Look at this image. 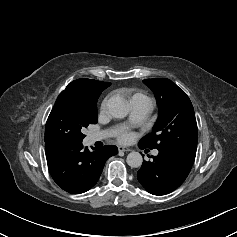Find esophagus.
Wrapping results in <instances>:
<instances>
[{
    "label": "esophagus",
    "instance_id": "1",
    "mask_svg": "<svg viewBox=\"0 0 237 237\" xmlns=\"http://www.w3.org/2000/svg\"><path fill=\"white\" fill-rule=\"evenodd\" d=\"M118 151L119 152H129V151H131V149L128 147L119 146Z\"/></svg>",
    "mask_w": 237,
    "mask_h": 237
}]
</instances>
